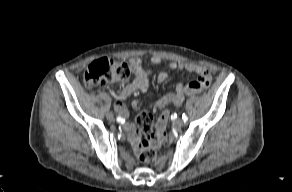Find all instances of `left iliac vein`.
I'll return each instance as SVG.
<instances>
[{"mask_svg":"<svg viewBox=\"0 0 292 192\" xmlns=\"http://www.w3.org/2000/svg\"><path fill=\"white\" fill-rule=\"evenodd\" d=\"M174 125L176 128H181L184 125V121L182 119H176Z\"/></svg>","mask_w":292,"mask_h":192,"instance_id":"4c4485c4","label":"left iliac vein"}]
</instances>
